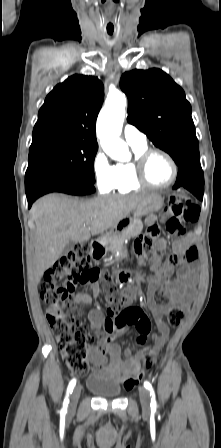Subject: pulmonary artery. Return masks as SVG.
Segmentation results:
<instances>
[{"label":"pulmonary artery","instance_id":"e3ab8cb5","mask_svg":"<svg viewBox=\"0 0 221 448\" xmlns=\"http://www.w3.org/2000/svg\"><path fill=\"white\" fill-rule=\"evenodd\" d=\"M123 137L131 146L142 147L147 144L146 136L132 124L124 126Z\"/></svg>","mask_w":221,"mask_h":448}]
</instances>
